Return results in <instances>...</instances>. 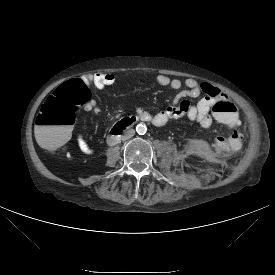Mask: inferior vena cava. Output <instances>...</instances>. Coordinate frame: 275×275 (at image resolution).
Here are the masks:
<instances>
[{"mask_svg":"<svg viewBox=\"0 0 275 275\" xmlns=\"http://www.w3.org/2000/svg\"><path fill=\"white\" fill-rule=\"evenodd\" d=\"M135 134V131L133 129L127 130L124 135L122 136V140H127L131 137H133Z\"/></svg>","mask_w":275,"mask_h":275,"instance_id":"602c4592","label":"inferior vena cava"}]
</instances>
